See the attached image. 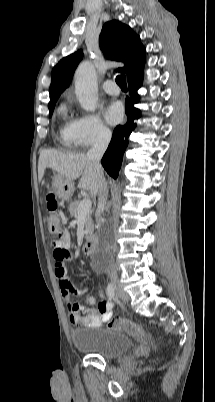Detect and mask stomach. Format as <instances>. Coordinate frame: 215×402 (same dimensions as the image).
I'll return each instance as SVG.
<instances>
[{
	"label": "stomach",
	"mask_w": 215,
	"mask_h": 402,
	"mask_svg": "<svg viewBox=\"0 0 215 402\" xmlns=\"http://www.w3.org/2000/svg\"><path fill=\"white\" fill-rule=\"evenodd\" d=\"M52 188L59 199L67 200L74 192V183L57 173L52 177Z\"/></svg>",
	"instance_id": "1"
}]
</instances>
